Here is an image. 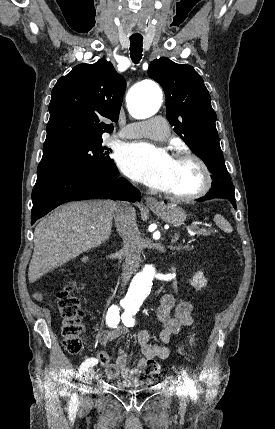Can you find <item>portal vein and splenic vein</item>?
<instances>
[{
    "label": "portal vein and splenic vein",
    "instance_id": "1",
    "mask_svg": "<svg viewBox=\"0 0 275 429\" xmlns=\"http://www.w3.org/2000/svg\"><path fill=\"white\" fill-rule=\"evenodd\" d=\"M188 230H189V234H190V235H194V232H191V229H190V228H188Z\"/></svg>",
    "mask_w": 275,
    "mask_h": 429
}]
</instances>
